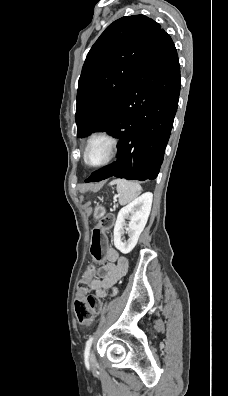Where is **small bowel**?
<instances>
[{"label": "small bowel", "mask_w": 228, "mask_h": 396, "mask_svg": "<svg viewBox=\"0 0 228 396\" xmlns=\"http://www.w3.org/2000/svg\"><path fill=\"white\" fill-rule=\"evenodd\" d=\"M107 262L99 269L98 277L91 280L90 289L97 298L104 299L117 293L116 283L127 273L128 260L109 249L106 255Z\"/></svg>", "instance_id": "c3829d8e"}]
</instances>
